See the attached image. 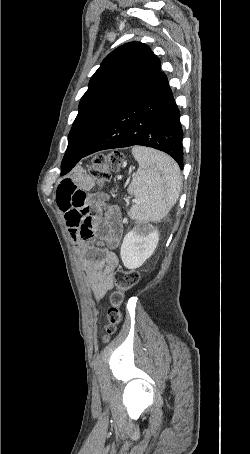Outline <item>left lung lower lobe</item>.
Instances as JSON below:
<instances>
[{"instance_id": "1", "label": "left lung lower lobe", "mask_w": 250, "mask_h": 454, "mask_svg": "<svg viewBox=\"0 0 250 454\" xmlns=\"http://www.w3.org/2000/svg\"><path fill=\"white\" fill-rule=\"evenodd\" d=\"M182 139L180 113L167 77L160 72L104 123L82 155H64L61 175L92 153L132 145L161 150L183 169Z\"/></svg>"}]
</instances>
